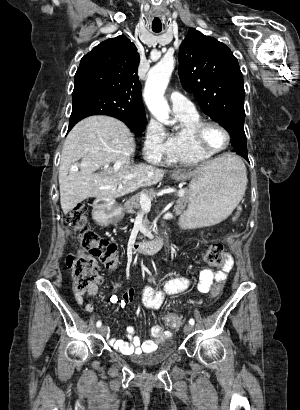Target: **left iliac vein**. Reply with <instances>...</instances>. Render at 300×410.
Returning <instances> with one entry per match:
<instances>
[{
  "label": "left iliac vein",
  "instance_id": "obj_1",
  "mask_svg": "<svg viewBox=\"0 0 300 410\" xmlns=\"http://www.w3.org/2000/svg\"><path fill=\"white\" fill-rule=\"evenodd\" d=\"M192 331H193V325H191V324H186L185 327H184V332H185L186 334H189V333H191Z\"/></svg>",
  "mask_w": 300,
  "mask_h": 410
}]
</instances>
